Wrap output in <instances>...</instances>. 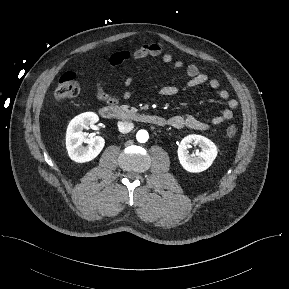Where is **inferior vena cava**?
Instances as JSON below:
<instances>
[{"label": "inferior vena cava", "instance_id": "1", "mask_svg": "<svg viewBox=\"0 0 289 289\" xmlns=\"http://www.w3.org/2000/svg\"><path fill=\"white\" fill-rule=\"evenodd\" d=\"M134 128V124L129 121H121L118 123V129L121 133H128Z\"/></svg>", "mask_w": 289, "mask_h": 289}]
</instances>
